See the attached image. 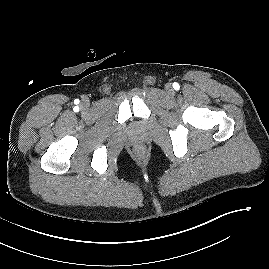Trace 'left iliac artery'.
Listing matches in <instances>:
<instances>
[{
	"label": "left iliac artery",
	"instance_id": "1",
	"mask_svg": "<svg viewBox=\"0 0 269 269\" xmlns=\"http://www.w3.org/2000/svg\"><path fill=\"white\" fill-rule=\"evenodd\" d=\"M173 87H174L175 89H178V88H179V84H178V83H174V84H173Z\"/></svg>",
	"mask_w": 269,
	"mask_h": 269
}]
</instances>
